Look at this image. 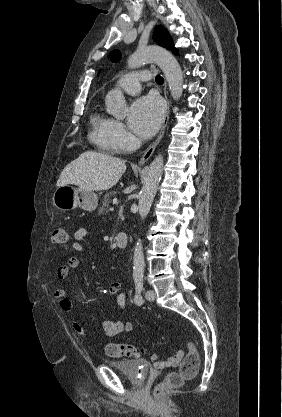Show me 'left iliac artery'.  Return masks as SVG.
<instances>
[{
  "label": "left iliac artery",
  "instance_id": "left-iliac-artery-1",
  "mask_svg": "<svg viewBox=\"0 0 282 417\" xmlns=\"http://www.w3.org/2000/svg\"><path fill=\"white\" fill-rule=\"evenodd\" d=\"M135 290H136V294L134 297V302L137 305H141L143 303V298L141 296V293L143 291V278L135 279Z\"/></svg>",
  "mask_w": 282,
  "mask_h": 417
}]
</instances>
